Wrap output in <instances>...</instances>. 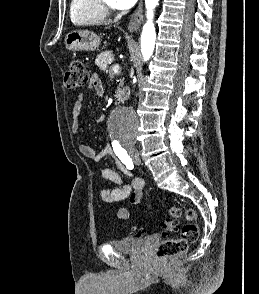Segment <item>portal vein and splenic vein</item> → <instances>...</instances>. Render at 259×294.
Listing matches in <instances>:
<instances>
[{
  "label": "portal vein and splenic vein",
  "instance_id": "18ae733b",
  "mask_svg": "<svg viewBox=\"0 0 259 294\" xmlns=\"http://www.w3.org/2000/svg\"><path fill=\"white\" fill-rule=\"evenodd\" d=\"M112 71H113L114 73H118V72L120 71V66H119L118 64L114 65V66L112 67Z\"/></svg>",
  "mask_w": 259,
  "mask_h": 294
}]
</instances>
